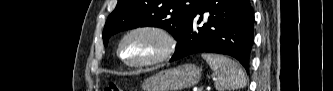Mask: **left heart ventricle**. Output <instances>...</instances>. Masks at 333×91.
Masks as SVG:
<instances>
[{
	"instance_id": "left-heart-ventricle-1",
	"label": "left heart ventricle",
	"mask_w": 333,
	"mask_h": 91,
	"mask_svg": "<svg viewBox=\"0 0 333 91\" xmlns=\"http://www.w3.org/2000/svg\"><path fill=\"white\" fill-rule=\"evenodd\" d=\"M160 50L161 43L155 36L138 33L126 40L123 55L127 61L137 62L158 55Z\"/></svg>"
}]
</instances>
